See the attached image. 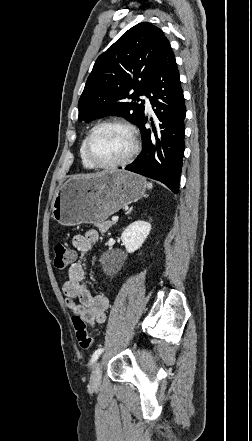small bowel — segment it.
Listing matches in <instances>:
<instances>
[{
  "mask_svg": "<svg viewBox=\"0 0 252 441\" xmlns=\"http://www.w3.org/2000/svg\"><path fill=\"white\" fill-rule=\"evenodd\" d=\"M98 240V232L88 229L83 234L75 235L72 239L74 248L83 257ZM76 258L73 253V259ZM85 270L83 263H73L67 272L62 285V292L68 306L77 311L89 325L102 324L106 320V310L109 300L103 293L92 294L84 282ZM78 300V303H76Z\"/></svg>",
  "mask_w": 252,
  "mask_h": 441,
  "instance_id": "small-bowel-1",
  "label": "small bowel"
}]
</instances>
